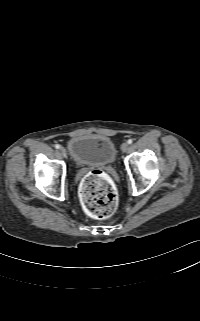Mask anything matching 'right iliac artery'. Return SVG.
Returning a JSON list of instances; mask_svg holds the SVG:
<instances>
[{
  "label": "right iliac artery",
  "instance_id": "1",
  "mask_svg": "<svg viewBox=\"0 0 200 321\" xmlns=\"http://www.w3.org/2000/svg\"><path fill=\"white\" fill-rule=\"evenodd\" d=\"M60 147H61V146H60L59 144H56V145H55V148H56V149H60Z\"/></svg>",
  "mask_w": 200,
  "mask_h": 321
}]
</instances>
